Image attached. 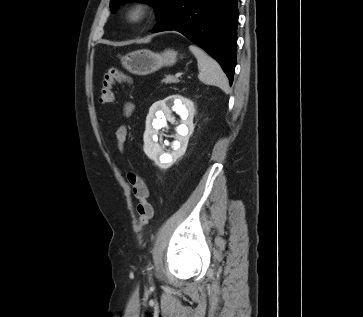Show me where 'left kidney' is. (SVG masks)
I'll return each instance as SVG.
<instances>
[{
	"label": "left kidney",
	"mask_w": 363,
	"mask_h": 317,
	"mask_svg": "<svg viewBox=\"0 0 363 317\" xmlns=\"http://www.w3.org/2000/svg\"><path fill=\"white\" fill-rule=\"evenodd\" d=\"M170 108L180 115L182 120L181 124L176 127V134L174 135L176 141L172 144L173 151L167 154L163 152L162 147L157 143V136L160 135L159 129L166 126V120L173 119ZM194 113L193 102L180 95H171L151 106L144 133V152L160 168H169L185 153L189 137L194 129Z\"/></svg>",
	"instance_id": "left-kidney-1"
}]
</instances>
